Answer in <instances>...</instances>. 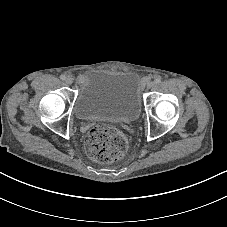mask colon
I'll list each match as a JSON object with an SVG mask.
<instances>
[{
    "label": "colon",
    "instance_id": "obj_1",
    "mask_svg": "<svg viewBox=\"0 0 227 227\" xmlns=\"http://www.w3.org/2000/svg\"><path fill=\"white\" fill-rule=\"evenodd\" d=\"M128 148L126 135L109 125L92 127L86 136L88 155L100 163H111L122 158Z\"/></svg>",
    "mask_w": 227,
    "mask_h": 227
}]
</instances>
